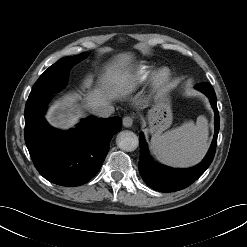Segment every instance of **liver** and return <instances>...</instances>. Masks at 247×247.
<instances>
[{
    "mask_svg": "<svg viewBox=\"0 0 247 247\" xmlns=\"http://www.w3.org/2000/svg\"><path fill=\"white\" fill-rule=\"evenodd\" d=\"M130 54H120L112 64L106 68V73L100 80L98 87L89 91L84 100V105L76 104L81 99L77 93L68 94L64 97V103L68 105V109H64L59 103L50 108L48 111V120L54 127L68 129L73 127L83 117V109L93 111L102 106L110 105L111 102L122 93L121 87L128 83L131 78L129 71L126 69L131 62Z\"/></svg>",
    "mask_w": 247,
    "mask_h": 247,
    "instance_id": "6515ba94",
    "label": "liver"
}]
</instances>
